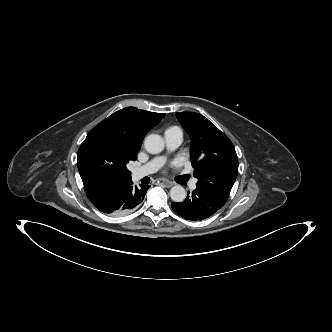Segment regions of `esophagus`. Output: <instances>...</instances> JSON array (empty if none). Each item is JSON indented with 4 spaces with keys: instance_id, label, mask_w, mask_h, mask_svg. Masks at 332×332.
I'll list each match as a JSON object with an SVG mask.
<instances>
[{
    "instance_id": "1",
    "label": "esophagus",
    "mask_w": 332,
    "mask_h": 332,
    "mask_svg": "<svg viewBox=\"0 0 332 332\" xmlns=\"http://www.w3.org/2000/svg\"><path fill=\"white\" fill-rule=\"evenodd\" d=\"M158 183L163 184L166 187H171L173 185V183L171 181H169L167 179H163V178L159 179Z\"/></svg>"
}]
</instances>
